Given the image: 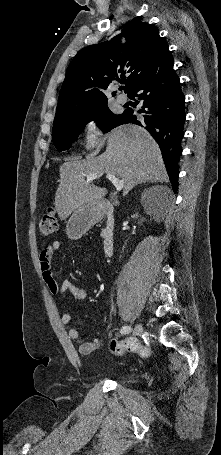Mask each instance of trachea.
Here are the masks:
<instances>
[{"label": "trachea", "mask_w": 221, "mask_h": 455, "mask_svg": "<svg viewBox=\"0 0 221 455\" xmlns=\"http://www.w3.org/2000/svg\"><path fill=\"white\" fill-rule=\"evenodd\" d=\"M120 89H124V86H121Z\"/></svg>", "instance_id": "3493384b"}]
</instances>
